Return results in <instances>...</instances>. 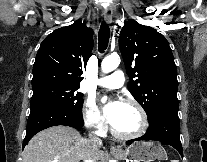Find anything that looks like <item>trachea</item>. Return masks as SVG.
Instances as JSON below:
<instances>
[{
  "label": "trachea",
  "instance_id": "obj_1",
  "mask_svg": "<svg viewBox=\"0 0 207 162\" xmlns=\"http://www.w3.org/2000/svg\"><path fill=\"white\" fill-rule=\"evenodd\" d=\"M109 38H110V30L108 26H106V24L102 22L98 34V41H99L98 49L100 53H104V51L106 50L108 46Z\"/></svg>",
  "mask_w": 207,
  "mask_h": 162
}]
</instances>
